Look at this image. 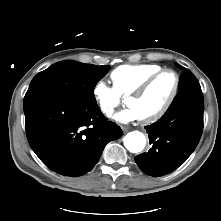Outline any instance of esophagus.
I'll return each mask as SVG.
<instances>
[{"instance_id":"esophagus-1","label":"esophagus","mask_w":221,"mask_h":221,"mask_svg":"<svg viewBox=\"0 0 221 221\" xmlns=\"http://www.w3.org/2000/svg\"><path fill=\"white\" fill-rule=\"evenodd\" d=\"M122 130H123V132H128V130H129V128L127 127V126H122Z\"/></svg>"}]
</instances>
